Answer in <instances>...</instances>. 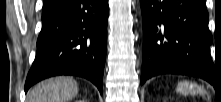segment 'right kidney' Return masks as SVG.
<instances>
[{"label": "right kidney", "instance_id": "right-kidney-1", "mask_svg": "<svg viewBox=\"0 0 221 102\" xmlns=\"http://www.w3.org/2000/svg\"><path fill=\"white\" fill-rule=\"evenodd\" d=\"M79 102H83V100H79Z\"/></svg>", "mask_w": 221, "mask_h": 102}]
</instances>
